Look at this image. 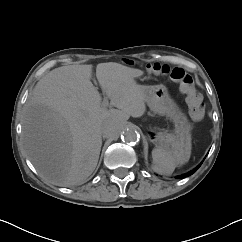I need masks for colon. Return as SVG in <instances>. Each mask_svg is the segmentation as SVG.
I'll list each match as a JSON object with an SVG mask.
<instances>
[{"label":"colon","mask_w":242,"mask_h":242,"mask_svg":"<svg viewBox=\"0 0 242 242\" xmlns=\"http://www.w3.org/2000/svg\"><path fill=\"white\" fill-rule=\"evenodd\" d=\"M146 68L155 74L168 76L179 84L180 90L186 95L189 114L193 121H200L204 116L205 102L197 90L193 76L181 67H171L167 64L149 63Z\"/></svg>","instance_id":"colon-1"}]
</instances>
